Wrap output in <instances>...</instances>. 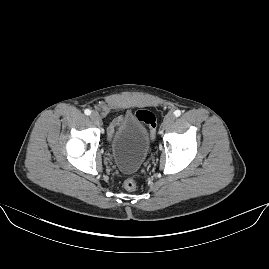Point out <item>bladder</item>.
Segmentation results:
<instances>
[{
	"instance_id": "31cf9c89",
	"label": "bladder",
	"mask_w": 269,
	"mask_h": 269,
	"mask_svg": "<svg viewBox=\"0 0 269 269\" xmlns=\"http://www.w3.org/2000/svg\"><path fill=\"white\" fill-rule=\"evenodd\" d=\"M150 129L138 114L123 120L109 140V152L118 169L125 173L139 170L150 154Z\"/></svg>"
}]
</instances>
